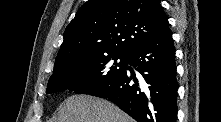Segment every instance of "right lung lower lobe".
<instances>
[{"mask_svg": "<svg viewBox=\"0 0 221 122\" xmlns=\"http://www.w3.org/2000/svg\"><path fill=\"white\" fill-rule=\"evenodd\" d=\"M131 67L108 86L90 95L108 98L137 122H176L175 48L167 24L153 39L134 51Z\"/></svg>", "mask_w": 221, "mask_h": 122, "instance_id": "1", "label": "right lung lower lobe"}]
</instances>
